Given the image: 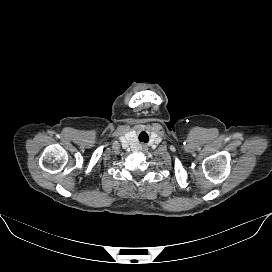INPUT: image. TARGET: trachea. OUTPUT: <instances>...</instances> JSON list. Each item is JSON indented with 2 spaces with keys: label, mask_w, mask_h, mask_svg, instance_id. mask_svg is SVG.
<instances>
[{
  "label": "trachea",
  "mask_w": 272,
  "mask_h": 272,
  "mask_svg": "<svg viewBox=\"0 0 272 272\" xmlns=\"http://www.w3.org/2000/svg\"><path fill=\"white\" fill-rule=\"evenodd\" d=\"M139 140L141 142H148L149 140V136L145 133V132H142L140 135H139Z\"/></svg>",
  "instance_id": "trachea-1"
}]
</instances>
